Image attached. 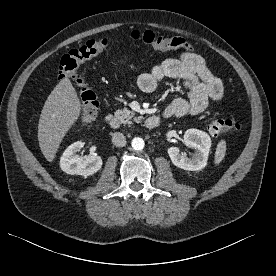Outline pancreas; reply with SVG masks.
Returning a JSON list of instances; mask_svg holds the SVG:
<instances>
[{
  "instance_id": "obj_1",
  "label": "pancreas",
  "mask_w": 276,
  "mask_h": 276,
  "mask_svg": "<svg viewBox=\"0 0 276 276\" xmlns=\"http://www.w3.org/2000/svg\"><path fill=\"white\" fill-rule=\"evenodd\" d=\"M115 116L119 118L124 124H130V120H133L136 123H139L143 117L135 116V113L127 108H123L122 110H117L115 112Z\"/></svg>"
}]
</instances>
